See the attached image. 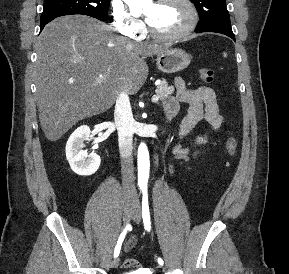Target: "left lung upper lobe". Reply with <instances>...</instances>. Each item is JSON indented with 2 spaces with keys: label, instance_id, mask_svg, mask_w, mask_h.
Listing matches in <instances>:
<instances>
[{
  "label": "left lung upper lobe",
  "instance_id": "left-lung-upper-lobe-1",
  "mask_svg": "<svg viewBox=\"0 0 289 274\" xmlns=\"http://www.w3.org/2000/svg\"><path fill=\"white\" fill-rule=\"evenodd\" d=\"M199 13L196 32L233 33L226 0H191Z\"/></svg>",
  "mask_w": 289,
  "mask_h": 274
}]
</instances>
